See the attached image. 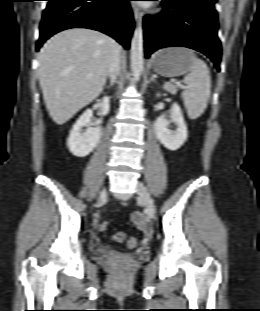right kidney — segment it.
<instances>
[{"label":"right kidney","instance_id":"ca27d5eb","mask_svg":"<svg viewBox=\"0 0 260 311\" xmlns=\"http://www.w3.org/2000/svg\"><path fill=\"white\" fill-rule=\"evenodd\" d=\"M109 111V98L104 97L101 102V115L104 116ZM93 116L92 109H87L76 121L67 139V146L70 152L77 157H85L96 148L100 141L102 129L99 126L102 123L101 119L95 122V128H89L82 132L84 126L91 123Z\"/></svg>","mask_w":260,"mask_h":311}]
</instances>
